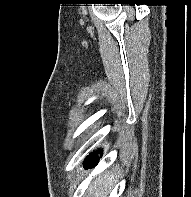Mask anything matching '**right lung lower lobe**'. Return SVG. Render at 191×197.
<instances>
[{
  "mask_svg": "<svg viewBox=\"0 0 191 197\" xmlns=\"http://www.w3.org/2000/svg\"><path fill=\"white\" fill-rule=\"evenodd\" d=\"M98 154H100V157L102 156V150L97 151V153H91L90 156L87 157V159L84 161V166L87 167H92L99 161Z\"/></svg>",
  "mask_w": 191,
  "mask_h": 197,
  "instance_id": "1",
  "label": "right lung lower lobe"
}]
</instances>
